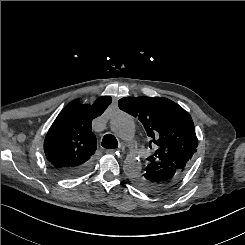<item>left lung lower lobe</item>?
Masks as SVG:
<instances>
[{"mask_svg": "<svg viewBox=\"0 0 245 245\" xmlns=\"http://www.w3.org/2000/svg\"><path fill=\"white\" fill-rule=\"evenodd\" d=\"M181 177V173L173 169H165L150 177L152 193H161L173 187Z\"/></svg>", "mask_w": 245, "mask_h": 245, "instance_id": "1", "label": "left lung lower lobe"}]
</instances>
